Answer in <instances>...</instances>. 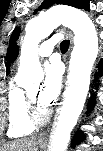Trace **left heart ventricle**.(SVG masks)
<instances>
[{
	"label": "left heart ventricle",
	"mask_w": 103,
	"mask_h": 151,
	"mask_svg": "<svg viewBox=\"0 0 103 151\" xmlns=\"http://www.w3.org/2000/svg\"><path fill=\"white\" fill-rule=\"evenodd\" d=\"M28 93L32 96V98L36 101V99H37V95H38V87H34V88H32V89H30L29 91H28ZM40 107V110L41 111H44V109L41 107V106H39Z\"/></svg>",
	"instance_id": "obj_1"
}]
</instances>
